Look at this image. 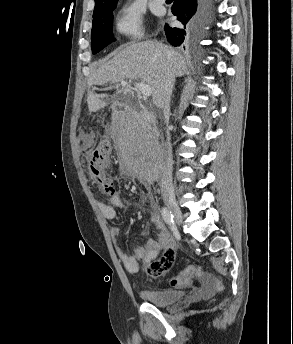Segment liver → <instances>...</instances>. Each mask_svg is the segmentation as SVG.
<instances>
[{"label":"liver","instance_id":"liver-1","mask_svg":"<svg viewBox=\"0 0 293 344\" xmlns=\"http://www.w3.org/2000/svg\"><path fill=\"white\" fill-rule=\"evenodd\" d=\"M167 68L171 69L174 76L181 77L187 71V63L177 50L163 43L156 41L133 43L101 65L88 82L90 85H104L108 82L118 84L125 80L129 82L140 80L151 87L155 103ZM119 93L127 96L132 93V87L130 85L122 87ZM106 97L107 94L89 92L87 97L89 111L96 112L107 106L108 103L104 100Z\"/></svg>","mask_w":293,"mask_h":344}]
</instances>
